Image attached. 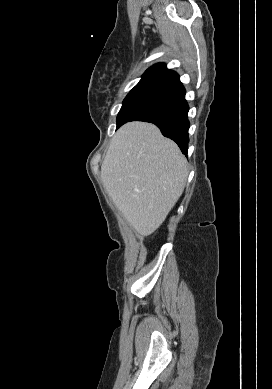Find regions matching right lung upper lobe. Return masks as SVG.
<instances>
[{
  "label": "right lung upper lobe",
  "instance_id": "1",
  "mask_svg": "<svg viewBox=\"0 0 272 389\" xmlns=\"http://www.w3.org/2000/svg\"><path fill=\"white\" fill-rule=\"evenodd\" d=\"M179 80V76L176 72L166 68L165 64L158 63L148 68L142 75L140 84H156L161 87L167 86L175 81ZM138 83V84H139Z\"/></svg>",
  "mask_w": 272,
  "mask_h": 389
}]
</instances>
